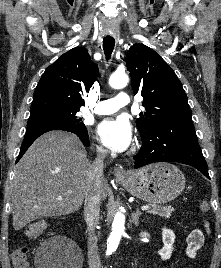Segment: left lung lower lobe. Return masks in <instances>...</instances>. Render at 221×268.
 <instances>
[{"label":"left lung lower lobe","instance_id":"0a47b994","mask_svg":"<svg viewBox=\"0 0 221 268\" xmlns=\"http://www.w3.org/2000/svg\"><path fill=\"white\" fill-rule=\"evenodd\" d=\"M141 138L142 147L134 156L135 168L154 162H178L195 167L210 179L192 121L162 120Z\"/></svg>","mask_w":221,"mask_h":268}]
</instances>
